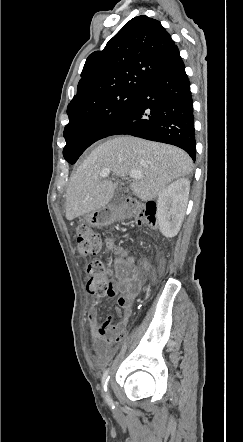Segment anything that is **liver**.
I'll list each match as a JSON object with an SVG mask.
<instances>
[{"instance_id":"obj_1","label":"liver","mask_w":243,"mask_h":442,"mask_svg":"<svg viewBox=\"0 0 243 442\" xmlns=\"http://www.w3.org/2000/svg\"><path fill=\"white\" fill-rule=\"evenodd\" d=\"M192 166L189 155L171 145L131 136L110 139L95 148L72 175L66 193V218L73 220L110 202L118 182L100 177L105 168L116 177L139 171L142 177L130 184L131 190L139 199L150 201L173 180L189 175Z\"/></svg>"}]
</instances>
